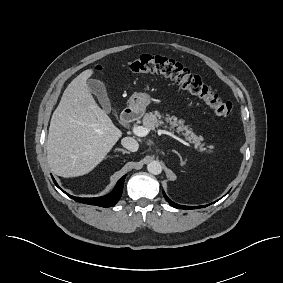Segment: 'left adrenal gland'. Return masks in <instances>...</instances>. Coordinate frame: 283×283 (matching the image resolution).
I'll use <instances>...</instances> for the list:
<instances>
[{
  "label": "left adrenal gland",
  "mask_w": 283,
  "mask_h": 283,
  "mask_svg": "<svg viewBox=\"0 0 283 283\" xmlns=\"http://www.w3.org/2000/svg\"><path fill=\"white\" fill-rule=\"evenodd\" d=\"M172 152H174L175 154L178 155V157L180 159V165L184 166L185 165V161L182 159V156L180 155V153H178L176 150H172Z\"/></svg>",
  "instance_id": "left-adrenal-gland-1"
}]
</instances>
